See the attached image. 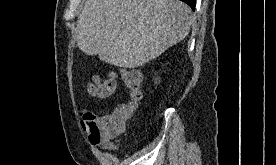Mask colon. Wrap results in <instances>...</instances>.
<instances>
[{"instance_id":"obj_1","label":"colon","mask_w":276,"mask_h":165,"mask_svg":"<svg viewBox=\"0 0 276 165\" xmlns=\"http://www.w3.org/2000/svg\"><path fill=\"white\" fill-rule=\"evenodd\" d=\"M123 81L130 91L131 101L115 109L111 114L99 118L94 113L88 112L82 117V124L93 144L110 142L111 139L124 132L131 118L136 104L142 98V77L137 70H125ZM116 79L114 75L106 78L94 76L88 85V91L92 96L108 99L116 90Z\"/></svg>"}]
</instances>
